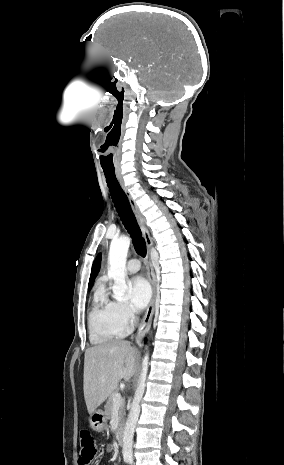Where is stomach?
<instances>
[{"instance_id": "1", "label": "stomach", "mask_w": 284, "mask_h": 465, "mask_svg": "<svg viewBox=\"0 0 284 465\" xmlns=\"http://www.w3.org/2000/svg\"><path fill=\"white\" fill-rule=\"evenodd\" d=\"M89 423L93 431H97V433H102L107 423V419H106V415L104 411H101V409H98V411H94V413H90Z\"/></svg>"}]
</instances>
